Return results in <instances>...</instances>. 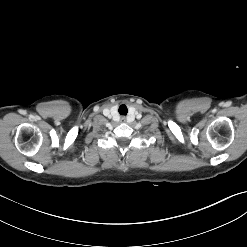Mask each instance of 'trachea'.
Wrapping results in <instances>:
<instances>
[{"label": "trachea", "mask_w": 247, "mask_h": 247, "mask_svg": "<svg viewBox=\"0 0 247 247\" xmlns=\"http://www.w3.org/2000/svg\"><path fill=\"white\" fill-rule=\"evenodd\" d=\"M127 107L125 106V105H121L120 107H119V113L121 114V115H126L127 114Z\"/></svg>", "instance_id": "obj_1"}]
</instances>
